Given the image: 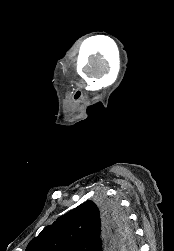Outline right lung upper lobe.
<instances>
[{"instance_id":"right-lung-upper-lobe-1","label":"right lung upper lobe","mask_w":174,"mask_h":251,"mask_svg":"<svg viewBox=\"0 0 174 251\" xmlns=\"http://www.w3.org/2000/svg\"><path fill=\"white\" fill-rule=\"evenodd\" d=\"M104 219L100 208L88 200L45 227L25 251L118 250L122 241L116 237H113L111 247H102Z\"/></svg>"}]
</instances>
